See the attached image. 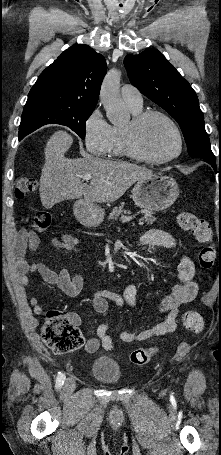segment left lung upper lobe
I'll return each mask as SVG.
<instances>
[{"mask_svg": "<svg viewBox=\"0 0 221 455\" xmlns=\"http://www.w3.org/2000/svg\"><path fill=\"white\" fill-rule=\"evenodd\" d=\"M124 65L132 85L179 123L189 155L215 158L197 95L173 65L157 49L127 55Z\"/></svg>", "mask_w": 221, "mask_h": 455, "instance_id": "1", "label": "left lung upper lobe"}]
</instances>
